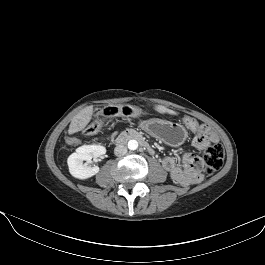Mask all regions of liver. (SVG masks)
<instances>
[{
  "label": "liver",
  "instance_id": "1",
  "mask_svg": "<svg viewBox=\"0 0 265 265\" xmlns=\"http://www.w3.org/2000/svg\"><path fill=\"white\" fill-rule=\"evenodd\" d=\"M154 109L160 114H170V115H177V113L171 109L166 108L162 105H155ZM93 115V106H86L80 112H78L71 120L69 126V134H74L83 130L90 120L92 119Z\"/></svg>",
  "mask_w": 265,
  "mask_h": 265
}]
</instances>
